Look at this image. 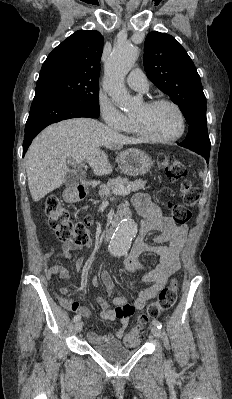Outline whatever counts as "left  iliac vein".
<instances>
[{
    "mask_svg": "<svg viewBox=\"0 0 232 399\" xmlns=\"http://www.w3.org/2000/svg\"><path fill=\"white\" fill-rule=\"evenodd\" d=\"M150 330H152V333H154V335H156L157 337L161 336V330H159V328H155V325L154 328Z\"/></svg>",
    "mask_w": 232,
    "mask_h": 399,
    "instance_id": "obj_1",
    "label": "left iliac vein"
}]
</instances>
